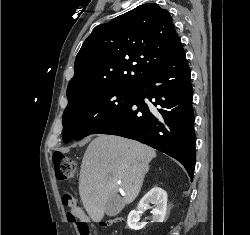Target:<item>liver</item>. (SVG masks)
<instances>
[{
	"label": "liver",
	"mask_w": 250,
	"mask_h": 235,
	"mask_svg": "<svg viewBox=\"0 0 250 235\" xmlns=\"http://www.w3.org/2000/svg\"><path fill=\"white\" fill-rule=\"evenodd\" d=\"M154 149L140 142L115 135H99L84 154L79 193L85 210L94 222L105 214L107 201L117 197L119 187L124 192L123 205L138 196Z\"/></svg>",
	"instance_id": "1"
}]
</instances>
